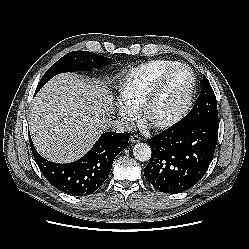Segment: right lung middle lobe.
<instances>
[{
	"instance_id": "dd1d6c3e",
	"label": "right lung middle lobe",
	"mask_w": 249,
	"mask_h": 249,
	"mask_svg": "<svg viewBox=\"0 0 249 249\" xmlns=\"http://www.w3.org/2000/svg\"><path fill=\"white\" fill-rule=\"evenodd\" d=\"M111 63L110 58L88 51H73L53 64L40 80L36 92L53 76L63 72L91 71L99 69Z\"/></svg>"
}]
</instances>
